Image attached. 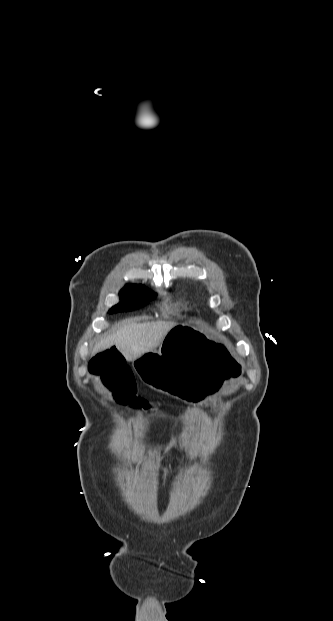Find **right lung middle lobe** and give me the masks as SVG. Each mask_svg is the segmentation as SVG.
I'll return each instance as SVG.
<instances>
[{
  "mask_svg": "<svg viewBox=\"0 0 333 621\" xmlns=\"http://www.w3.org/2000/svg\"><path fill=\"white\" fill-rule=\"evenodd\" d=\"M153 297L156 298V294L143 286L126 285L120 291L121 302L113 306L109 313L136 309L146 305Z\"/></svg>",
  "mask_w": 333,
  "mask_h": 621,
  "instance_id": "right-lung-middle-lobe-1",
  "label": "right lung middle lobe"
}]
</instances>
